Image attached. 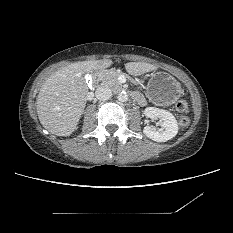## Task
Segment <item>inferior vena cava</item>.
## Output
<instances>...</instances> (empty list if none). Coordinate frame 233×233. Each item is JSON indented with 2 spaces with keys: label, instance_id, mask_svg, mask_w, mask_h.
<instances>
[{
  "label": "inferior vena cava",
  "instance_id": "602c4592",
  "mask_svg": "<svg viewBox=\"0 0 233 233\" xmlns=\"http://www.w3.org/2000/svg\"><path fill=\"white\" fill-rule=\"evenodd\" d=\"M95 96L98 100L106 101L112 97V91L107 86H101L96 89Z\"/></svg>",
  "mask_w": 233,
  "mask_h": 233
}]
</instances>
